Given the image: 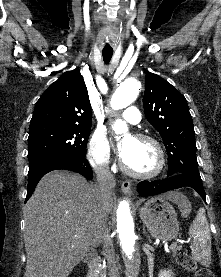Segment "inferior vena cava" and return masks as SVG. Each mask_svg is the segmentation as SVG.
<instances>
[{"instance_id": "obj_1", "label": "inferior vena cava", "mask_w": 221, "mask_h": 277, "mask_svg": "<svg viewBox=\"0 0 221 277\" xmlns=\"http://www.w3.org/2000/svg\"><path fill=\"white\" fill-rule=\"evenodd\" d=\"M95 174L97 179V191L100 198V203L103 211L106 210L108 199L113 194V188L115 187V178L110 172L108 163L101 164L95 168ZM102 242H103V254L106 258L109 277H120L117 262L115 260V254L112 243L109 239L108 229L106 223L102 225Z\"/></svg>"}]
</instances>
